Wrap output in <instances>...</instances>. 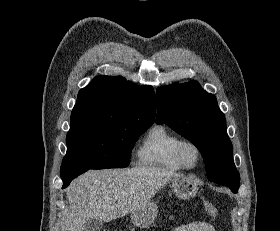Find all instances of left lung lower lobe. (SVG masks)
Here are the masks:
<instances>
[{
  "label": "left lung lower lobe",
  "mask_w": 280,
  "mask_h": 231,
  "mask_svg": "<svg viewBox=\"0 0 280 231\" xmlns=\"http://www.w3.org/2000/svg\"><path fill=\"white\" fill-rule=\"evenodd\" d=\"M220 185L227 186L231 189L232 192L237 193L239 186H240V176L239 172L237 171L234 174L226 176L222 179L214 181Z\"/></svg>",
  "instance_id": "0a47b994"
}]
</instances>
